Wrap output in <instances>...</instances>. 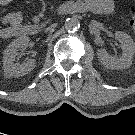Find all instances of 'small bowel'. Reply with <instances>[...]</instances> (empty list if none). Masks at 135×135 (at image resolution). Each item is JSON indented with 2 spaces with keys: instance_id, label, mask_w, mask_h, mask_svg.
I'll list each match as a JSON object with an SVG mask.
<instances>
[{
  "instance_id": "obj_1",
  "label": "small bowel",
  "mask_w": 135,
  "mask_h": 135,
  "mask_svg": "<svg viewBox=\"0 0 135 135\" xmlns=\"http://www.w3.org/2000/svg\"><path fill=\"white\" fill-rule=\"evenodd\" d=\"M13 0H0V5L6 6ZM87 9L98 15H112L115 11L113 0H85ZM24 33L22 14L18 11L0 19V38L7 39Z\"/></svg>"
}]
</instances>
